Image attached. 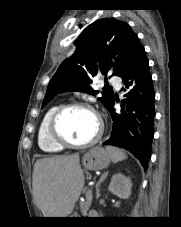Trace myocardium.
<instances>
[{"mask_svg": "<svg viewBox=\"0 0 181 227\" xmlns=\"http://www.w3.org/2000/svg\"><path fill=\"white\" fill-rule=\"evenodd\" d=\"M72 108H83L90 111L96 118L98 123V129L95 136L87 142L84 143H74L66 139L64 136L61 135L58 129V122L61 116L69 109ZM48 131L51 139L59 144L62 147L67 148H75V149H86L95 145L102 137L104 131V124L102 118L100 117L99 113L95 110V108L83 101H72L63 105H60L55 112L53 113L48 126Z\"/></svg>", "mask_w": 181, "mask_h": 227, "instance_id": "f54148a6", "label": "myocardium"}]
</instances>
